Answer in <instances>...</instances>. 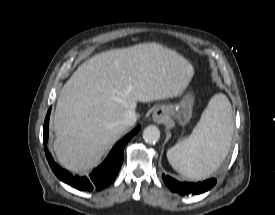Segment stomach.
<instances>
[{"label": "stomach", "mask_w": 275, "mask_h": 215, "mask_svg": "<svg viewBox=\"0 0 275 215\" xmlns=\"http://www.w3.org/2000/svg\"><path fill=\"white\" fill-rule=\"evenodd\" d=\"M194 104V96L192 93H187L181 102L169 107L170 115L175 116L181 123H186L192 114V107Z\"/></svg>", "instance_id": "1"}]
</instances>
